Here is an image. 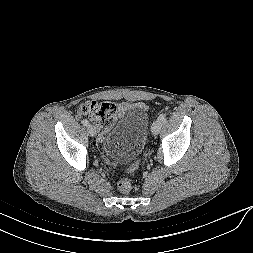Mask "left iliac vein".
Wrapping results in <instances>:
<instances>
[{"label":"left iliac vein","instance_id":"obj_1","mask_svg":"<svg viewBox=\"0 0 253 253\" xmlns=\"http://www.w3.org/2000/svg\"><path fill=\"white\" fill-rule=\"evenodd\" d=\"M161 126V121L157 119L151 127L152 134L157 135L161 130Z\"/></svg>","mask_w":253,"mask_h":253}]
</instances>
